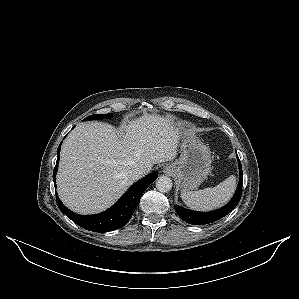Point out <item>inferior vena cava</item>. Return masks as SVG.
<instances>
[{
    "label": "inferior vena cava",
    "instance_id": "1",
    "mask_svg": "<svg viewBox=\"0 0 299 299\" xmlns=\"http://www.w3.org/2000/svg\"><path fill=\"white\" fill-rule=\"evenodd\" d=\"M146 174V170L144 168H134L129 172L130 177L133 180H138Z\"/></svg>",
    "mask_w": 299,
    "mask_h": 299
}]
</instances>
